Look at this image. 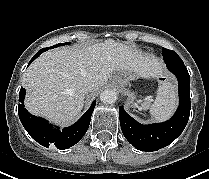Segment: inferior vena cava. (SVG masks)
<instances>
[{
    "label": "inferior vena cava",
    "mask_w": 209,
    "mask_h": 179,
    "mask_svg": "<svg viewBox=\"0 0 209 179\" xmlns=\"http://www.w3.org/2000/svg\"><path fill=\"white\" fill-rule=\"evenodd\" d=\"M94 84L92 83H88L83 87V92L84 93H88V92H92L94 90Z\"/></svg>",
    "instance_id": "inferior-vena-cava-1"
}]
</instances>
